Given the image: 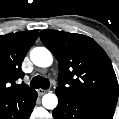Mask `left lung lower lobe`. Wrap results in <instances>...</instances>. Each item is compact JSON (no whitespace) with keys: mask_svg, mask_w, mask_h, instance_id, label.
I'll list each match as a JSON object with an SVG mask.
<instances>
[{"mask_svg":"<svg viewBox=\"0 0 119 119\" xmlns=\"http://www.w3.org/2000/svg\"><path fill=\"white\" fill-rule=\"evenodd\" d=\"M58 106L53 110L54 119H112L115 109L85 104L67 95H57Z\"/></svg>","mask_w":119,"mask_h":119,"instance_id":"1","label":"left lung lower lobe"}]
</instances>
